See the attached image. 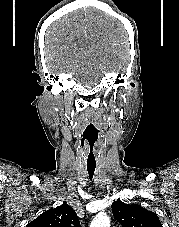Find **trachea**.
<instances>
[{"label":"trachea","instance_id":"1","mask_svg":"<svg viewBox=\"0 0 179 227\" xmlns=\"http://www.w3.org/2000/svg\"><path fill=\"white\" fill-rule=\"evenodd\" d=\"M96 150H87V171H88V174H89V179H92L93 178V175H94V171H95V168H96V158H97V155H96Z\"/></svg>","mask_w":179,"mask_h":227}]
</instances>
